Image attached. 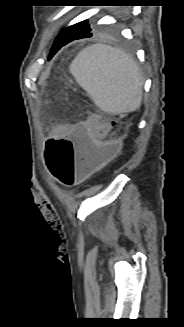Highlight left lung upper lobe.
I'll use <instances>...</instances> for the list:
<instances>
[{
  "label": "left lung upper lobe",
  "mask_w": 184,
  "mask_h": 327,
  "mask_svg": "<svg viewBox=\"0 0 184 327\" xmlns=\"http://www.w3.org/2000/svg\"><path fill=\"white\" fill-rule=\"evenodd\" d=\"M71 27L74 30L78 31V34H80L82 36L92 34V31H93V29H92L90 23L88 22V20H84L82 22H79V23H77L75 25H72Z\"/></svg>",
  "instance_id": "5c2ea615"
}]
</instances>
